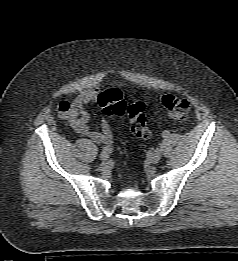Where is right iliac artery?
<instances>
[{"label":"right iliac artery","mask_w":238,"mask_h":261,"mask_svg":"<svg viewBox=\"0 0 238 261\" xmlns=\"http://www.w3.org/2000/svg\"><path fill=\"white\" fill-rule=\"evenodd\" d=\"M102 150H103V152H105V153H107V154L112 153V148L109 147V146H104V147H102Z\"/></svg>","instance_id":"right-iliac-artery-1"}]
</instances>
